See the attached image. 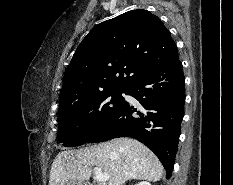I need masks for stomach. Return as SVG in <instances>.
<instances>
[{
    "instance_id": "0dacf381",
    "label": "stomach",
    "mask_w": 233,
    "mask_h": 185,
    "mask_svg": "<svg viewBox=\"0 0 233 185\" xmlns=\"http://www.w3.org/2000/svg\"><path fill=\"white\" fill-rule=\"evenodd\" d=\"M65 185H87L85 182H80L77 180H70Z\"/></svg>"
}]
</instances>
